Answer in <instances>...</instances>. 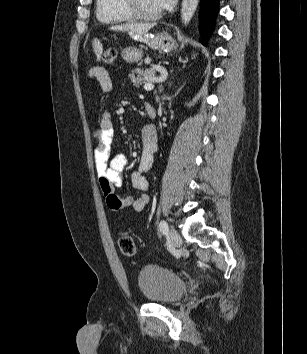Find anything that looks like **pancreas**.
I'll list each match as a JSON object with an SVG mask.
<instances>
[{
	"label": "pancreas",
	"instance_id": "cf45deb5",
	"mask_svg": "<svg viewBox=\"0 0 307 354\" xmlns=\"http://www.w3.org/2000/svg\"><path fill=\"white\" fill-rule=\"evenodd\" d=\"M129 78L135 87H139L142 84L148 83L155 78V69H140L136 68L131 71Z\"/></svg>",
	"mask_w": 307,
	"mask_h": 354
}]
</instances>
